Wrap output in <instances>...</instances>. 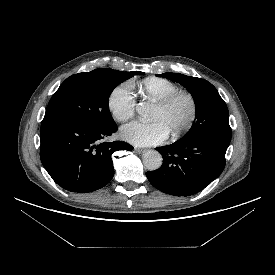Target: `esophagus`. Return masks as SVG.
Wrapping results in <instances>:
<instances>
[{
    "mask_svg": "<svg viewBox=\"0 0 275 275\" xmlns=\"http://www.w3.org/2000/svg\"><path fill=\"white\" fill-rule=\"evenodd\" d=\"M134 150H135V152L138 153V154H141V153H143V152L145 151V150L142 149V148H135Z\"/></svg>",
    "mask_w": 275,
    "mask_h": 275,
    "instance_id": "obj_1",
    "label": "esophagus"
}]
</instances>
